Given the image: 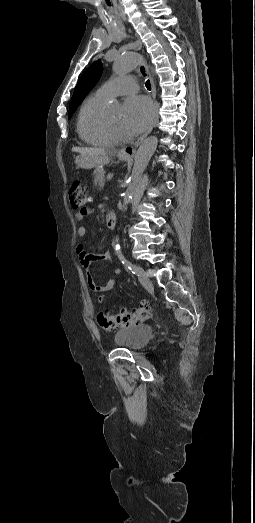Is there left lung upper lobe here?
I'll use <instances>...</instances> for the list:
<instances>
[{"label": "left lung upper lobe", "mask_w": 255, "mask_h": 523, "mask_svg": "<svg viewBox=\"0 0 255 523\" xmlns=\"http://www.w3.org/2000/svg\"><path fill=\"white\" fill-rule=\"evenodd\" d=\"M101 61H95L79 79L69 105L68 119H70L89 91L96 85L102 73Z\"/></svg>", "instance_id": "1"}]
</instances>
